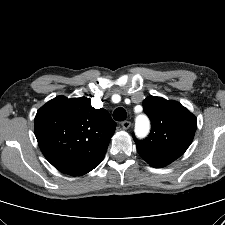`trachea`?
I'll list each match as a JSON object with an SVG mask.
<instances>
[{"label": "trachea", "mask_w": 225, "mask_h": 225, "mask_svg": "<svg viewBox=\"0 0 225 225\" xmlns=\"http://www.w3.org/2000/svg\"><path fill=\"white\" fill-rule=\"evenodd\" d=\"M126 110L122 107L117 108L114 112H113V118L116 121H123L126 119Z\"/></svg>", "instance_id": "3493384b"}]
</instances>
